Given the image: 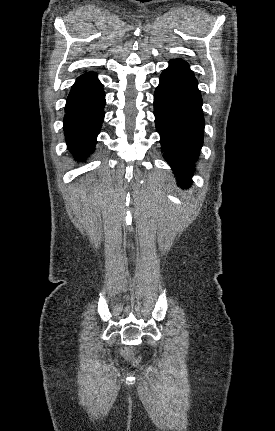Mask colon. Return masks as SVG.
Returning <instances> with one entry per match:
<instances>
[{
	"instance_id": "5ec220e1",
	"label": "colon",
	"mask_w": 275,
	"mask_h": 431,
	"mask_svg": "<svg viewBox=\"0 0 275 431\" xmlns=\"http://www.w3.org/2000/svg\"><path fill=\"white\" fill-rule=\"evenodd\" d=\"M131 350H130V348H125V352L129 355L131 352H130Z\"/></svg>"
}]
</instances>
